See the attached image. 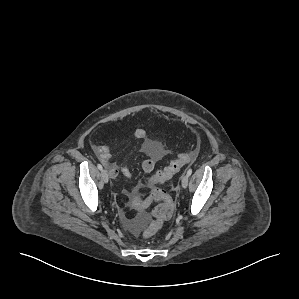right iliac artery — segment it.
I'll return each instance as SVG.
<instances>
[{
  "label": "right iliac artery",
  "instance_id": "1",
  "mask_svg": "<svg viewBox=\"0 0 299 299\" xmlns=\"http://www.w3.org/2000/svg\"><path fill=\"white\" fill-rule=\"evenodd\" d=\"M97 167H98L99 170H102V169H103V167H102L101 164H97Z\"/></svg>",
  "mask_w": 299,
  "mask_h": 299
}]
</instances>
